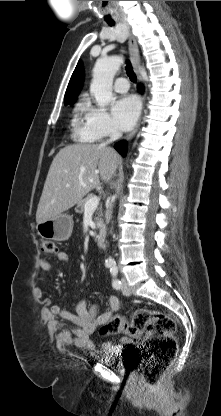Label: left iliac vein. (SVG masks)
<instances>
[{
    "label": "left iliac vein",
    "mask_w": 221,
    "mask_h": 416,
    "mask_svg": "<svg viewBox=\"0 0 221 416\" xmlns=\"http://www.w3.org/2000/svg\"><path fill=\"white\" fill-rule=\"evenodd\" d=\"M122 293L126 296L131 295V290L128 286L126 278H122Z\"/></svg>",
    "instance_id": "left-iliac-vein-1"
}]
</instances>
